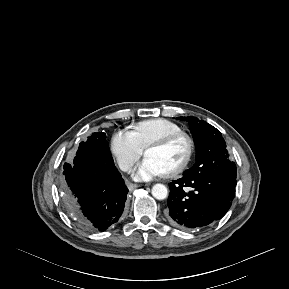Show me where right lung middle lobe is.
<instances>
[{
  "label": "right lung middle lobe",
  "mask_w": 289,
  "mask_h": 289,
  "mask_svg": "<svg viewBox=\"0 0 289 289\" xmlns=\"http://www.w3.org/2000/svg\"><path fill=\"white\" fill-rule=\"evenodd\" d=\"M82 155H92L105 162H113L109 145L106 141V134L104 132L93 133L86 142H82L74 158V163ZM70 166V164L65 163L64 170L69 169Z\"/></svg>",
  "instance_id": "obj_1"
}]
</instances>
